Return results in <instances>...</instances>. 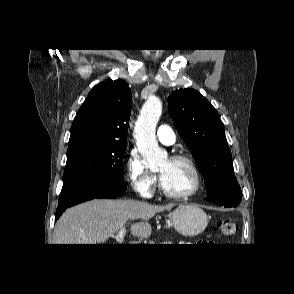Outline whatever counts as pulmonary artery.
I'll return each instance as SVG.
<instances>
[{"label": "pulmonary artery", "instance_id": "1", "mask_svg": "<svg viewBox=\"0 0 294 294\" xmlns=\"http://www.w3.org/2000/svg\"><path fill=\"white\" fill-rule=\"evenodd\" d=\"M158 140L165 145H172L175 142V135L169 125L162 124L157 129Z\"/></svg>", "mask_w": 294, "mask_h": 294}]
</instances>
